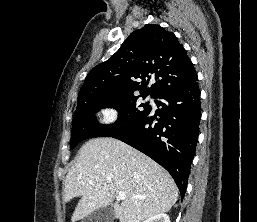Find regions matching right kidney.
<instances>
[{
    "instance_id": "right-kidney-1",
    "label": "right kidney",
    "mask_w": 257,
    "mask_h": 222,
    "mask_svg": "<svg viewBox=\"0 0 257 222\" xmlns=\"http://www.w3.org/2000/svg\"><path fill=\"white\" fill-rule=\"evenodd\" d=\"M143 222H170L169 216L165 213L154 215Z\"/></svg>"
}]
</instances>
